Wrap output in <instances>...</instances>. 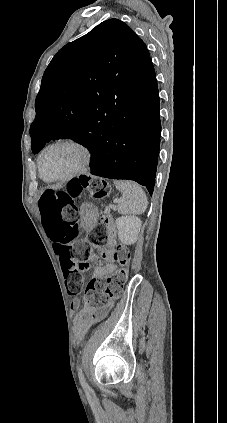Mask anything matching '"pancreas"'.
Wrapping results in <instances>:
<instances>
[{
    "label": "pancreas",
    "instance_id": "cf45deb5",
    "mask_svg": "<svg viewBox=\"0 0 227 423\" xmlns=\"http://www.w3.org/2000/svg\"><path fill=\"white\" fill-rule=\"evenodd\" d=\"M105 211H109V208H106V210Z\"/></svg>",
    "mask_w": 227,
    "mask_h": 423
}]
</instances>
